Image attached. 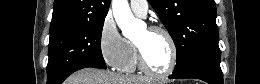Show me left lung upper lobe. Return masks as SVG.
I'll return each mask as SVG.
<instances>
[{
    "label": "left lung upper lobe",
    "mask_w": 260,
    "mask_h": 84,
    "mask_svg": "<svg viewBox=\"0 0 260 84\" xmlns=\"http://www.w3.org/2000/svg\"><path fill=\"white\" fill-rule=\"evenodd\" d=\"M177 50L174 73L197 57L219 52L214 0H149Z\"/></svg>",
    "instance_id": "obj_1"
}]
</instances>
